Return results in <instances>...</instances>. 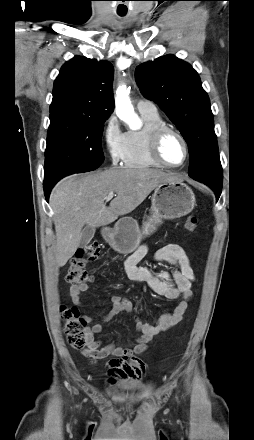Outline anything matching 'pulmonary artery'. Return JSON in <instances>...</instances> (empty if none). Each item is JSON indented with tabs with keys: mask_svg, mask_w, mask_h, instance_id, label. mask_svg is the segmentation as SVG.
I'll use <instances>...</instances> for the list:
<instances>
[{
	"mask_svg": "<svg viewBox=\"0 0 254 440\" xmlns=\"http://www.w3.org/2000/svg\"><path fill=\"white\" fill-rule=\"evenodd\" d=\"M136 107L140 113H156L157 112V108L152 102L147 101V100H143V99H140L137 102Z\"/></svg>",
	"mask_w": 254,
	"mask_h": 440,
	"instance_id": "pulmonary-artery-1",
	"label": "pulmonary artery"
}]
</instances>
